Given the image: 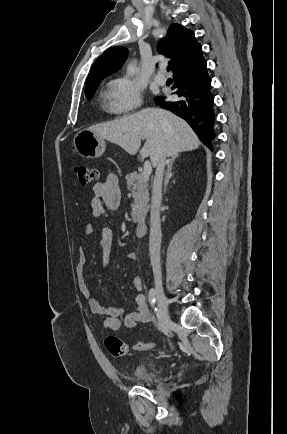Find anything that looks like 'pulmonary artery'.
<instances>
[{"instance_id":"e3ab8cb5","label":"pulmonary artery","mask_w":287,"mask_h":434,"mask_svg":"<svg viewBox=\"0 0 287 434\" xmlns=\"http://www.w3.org/2000/svg\"><path fill=\"white\" fill-rule=\"evenodd\" d=\"M155 80H156V82H158L159 84H165V83H166V81H167V77L165 76V74H164V70H163V69L160 71L159 74H157V75L155 76Z\"/></svg>"}]
</instances>
